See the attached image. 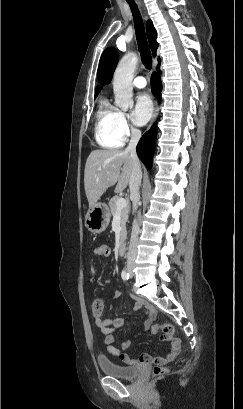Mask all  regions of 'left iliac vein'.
<instances>
[{"instance_id": "4c4485c4", "label": "left iliac vein", "mask_w": 243, "mask_h": 409, "mask_svg": "<svg viewBox=\"0 0 243 409\" xmlns=\"http://www.w3.org/2000/svg\"><path fill=\"white\" fill-rule=\"evenodd\" d=\"M133 275V273H132V271H130V276H132Z\"/></svg>"}]
</instances>
